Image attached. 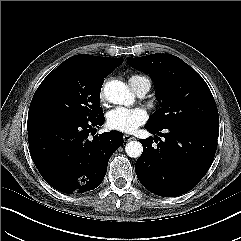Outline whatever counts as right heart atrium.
<instances>
[{"mask_svg":"<svg viewBox=\"0 0 241 241\" xmlns=\"http://www.w3.org/2000/svg\"><path fill=\"white\" fill-rule=\"evenodd\" d=\"M103 97V94L101 93V98Z\"/></svg>","mask_w":241,"mask_h":241,"instance_id":"d8ad5b80","label":"right heart atrium"}]
</instances>
